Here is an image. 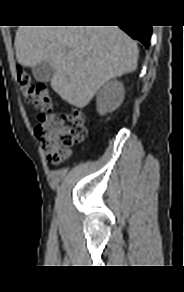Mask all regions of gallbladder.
I'll list each match as a JSON object with an SVG mask.
<instances>
[{"label":"gallbladder","mask_w":184,"mask_h":292,"mask_svg":"<svg viewBox=\"0 0 184 292\" xmlns=\"http://www.w3.org/2000/svg\"><path fill=\"white\" fill-rule=\"evenodd\" d=\"M32 74L36 81L47 83L53 77L54 68L49 63L42 62L32 68Z\"/></svg>","instance_id":"bac80fb5"}]
</instances>
